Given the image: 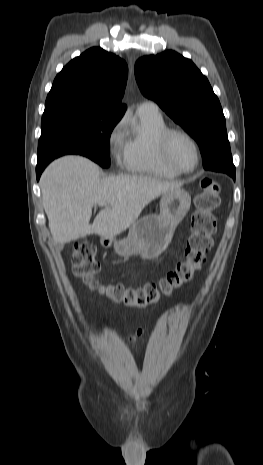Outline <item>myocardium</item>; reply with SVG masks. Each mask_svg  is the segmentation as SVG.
<instances>
[{"mask_svg": "<svg viewBox=\"0 0 263 465\" xmlns=\"http://www.w3.org/2000/svg\"><path fill=\"white\" fill-rule=\"evenodd\" d=\"M176 135H180L188 139L194 149H195V154H196V160L195 164L192 168L190 169H183L179 166H177L171 159L170 157V142L172 138ZM158 149H159V155L164 163L165 166H167L170 170L178 173V174H188L197 169L200 163L201 159V151H200V146L197 142V140L187 131L180 129V128H167L162 132L158 139Z\"/></svg>", "mask_w": 263, "mask_h": 465, "instance_id": "f54148a6", "label": "myocardium"}]
</instances>
